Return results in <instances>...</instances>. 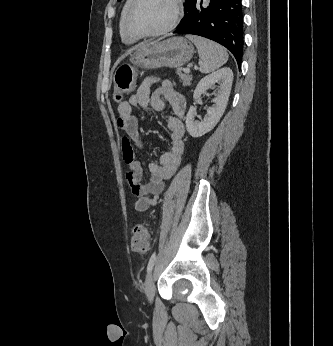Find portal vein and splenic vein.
<instances>
[{
    "instance_id": "portal-vein-and-splenic-vein-1",
    "label": "portal vein and splenic vein",
    "mask_w": 333,
    "mask_h": 346,
    "mask_svg": "<svg viewBox=\"0 0 333 346\" xmlns=\"http://www.w3.org/2000/svg\"><path fill=\"white\" fill-rule=\"evenodd\" d=\"M184 72L187 73V74H189V73H190V69H189V68H185V69H184Z\"/></svg>"
}]
</instances>
